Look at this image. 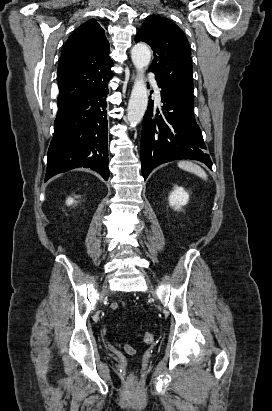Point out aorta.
Returning a JSON list of instances; mask_svg holds the SVG:
<instances>
[{"mask_svg":"<svg viewBox=\"0 0 272 411\" xmlns=\"http://www.w3.org/2000/svg\"><path fill=\"white\" fill-rule=\"evenodd\" d=\"M131 58L138 71L127 108V119L131 125L141 122L148 105V92L143 73L151 59V51L145 44H137L131 50Z\"/></svg>","mask_w":272,"mask_h":411,"instance_id":"aorta-1","label":"aorta"}]
</instances>
